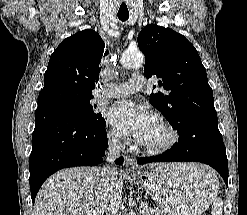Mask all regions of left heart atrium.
Here are the masks:
<instances>
[{"mask_svg":"<svg viewBox=\"0 0 247 215\" xmlns=\"http://www.w3.org/2000/svg\"><path fill=\"white\" fill-rule=\"evenodd\" d=\"M108 120L121 135L145 143L156 125L157 116L144 106L122 101L108 111Z\"/></svg>","mask_w":247,"mask_h":215,"instance_id":"obj_1","label":"left heart atrium"}]
</instances>
